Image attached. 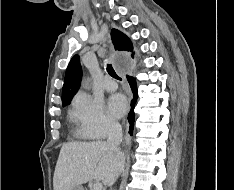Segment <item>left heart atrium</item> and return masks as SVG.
Wrapping results in <instances>:
<instances>
[{
    "mask_svg": "<svg viewBox=\"0 0 234 190\" xmlns=\"http://www.w3.org/2000/svg\"><path fill=\"white\" fill-rule=\"evenodd\" d=\"M127 101L121 94H114L109 98L108 109L112 116L120 117L126 111Z\"/></svg>",
    "mask_w": 234,
    "mask_h": 190,
    "instance_id": "left-heart-atrium-1",
    "label": "left heart atrium"
}]
</instances>
